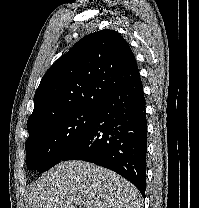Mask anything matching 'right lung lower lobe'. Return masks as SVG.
I'll list each match as a JSON object with an SVG mask.
<instances>
[{"label": "right lung lower lobe", "instance_id": "right-lung-lower-lobe-1", "mask_svg": "<svg viewBox=\"0 0 199 208\" xmlns=\"http://www.w3.org/2000/svg\"><path fill=\"white\" fill-rule=\"evenodd\" d=\"M147 121L141 78L110 94L95 107L85 135L62 161L84 160L109 168L145 197Z\"/></svg>", "mask_w": 199, "mask_h": 208}]
</instances>
